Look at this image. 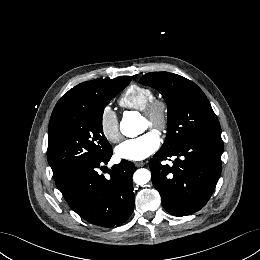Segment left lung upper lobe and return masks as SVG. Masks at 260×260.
<instances>
[{"instance_id": "1", "label": "left lung upper lobe", "mask_w": 260, "mask_h": 260, "mask_svg": "<svg viewBox=\"0 0 260 260\" xmlns=\"http://www.w3.org/2000/svg\"><path fill=\"white\" fill-rule=\"evenodd\" d=\"M157 89L168 106L167 136L161 149H174L186 142L221 136L217 117L203 91L192 81L168 72H153L140 79Z\"/></svg>"}]
</instances>
